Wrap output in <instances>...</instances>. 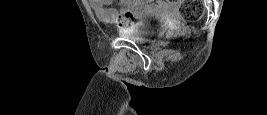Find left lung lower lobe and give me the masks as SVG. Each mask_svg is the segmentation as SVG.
<instances>
[{"mask_svg":"<svg viewBox=\"0 0 267 115\" xmlns=\"http://www.w3.org/2000/svg\"><path fill=\"white\" fill-rule=\"evenodd\" d=\"M148 91H151V92H153V91H158V90L148 89Z\"/></svg>","mask_w":267,"mask_h":115,"instance_id":"obj_1","label":"left lung lower lobe"}]
</instances>
